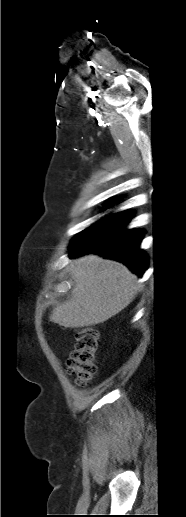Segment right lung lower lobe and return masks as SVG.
<instances>
[{"label":"right lung lower lobe","mask_w":186,"mask_h":517,"mask_svg":"<svg viewBox=\"0 0 186 517\" xmlns=\"http://www.w3.org/2000/svg\"><path fill=\"white\" fill-rule=\"evenodd\" d=\"M131 217V211H122L88 227L72 240L70 256L99 254L124 263L142 276L148 265L146 254L140 249L144 231L125 229Z\"/></svg>","instance_id":"1"}]
</instances>
